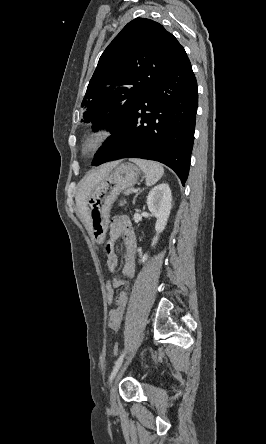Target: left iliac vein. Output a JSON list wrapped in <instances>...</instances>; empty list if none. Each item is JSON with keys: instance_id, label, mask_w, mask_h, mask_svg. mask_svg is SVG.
I'll list each match as a JSON object with an SVG mask.
<instances>
[{"instance_id": "left-iliac-vein-1", "label": "left iliac vein", "mask_w": 266, "mask_h": 444, "mask_svg": "<svg viewBox=\"0 0 266 444\" xmlns=\"http://www.w3.org/2000/svg\"><path fill=\"white\" fill-rule=\"evenodd\" d=\"M144 338V333H142L138 339L136 340L133 349L131 351V353L129 354V356L127 357V359L125 360V362L119 367L118 371L116 372L114 379H113V385L111 387V391H110V402L111 405L113 407H116L117 403H116V395H117V387L119 384V381L121 380L123 374L125 373L129 363L131 362L132 358L134 357L136 351L138 350V348L140 347L142 340Z\"/></svg>"}]
</instances>
